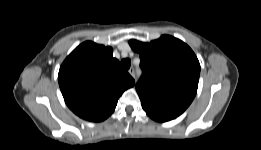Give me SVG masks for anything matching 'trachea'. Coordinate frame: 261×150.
Here are the masks:
<instances>
[{
  "label": "trachea",
  "mask_w": 261,
  "mask_h": 150,
  "mask_svg": "<svg viewBox=\"0 0 261 150\" xmlns=\"http://www.w3.org/2000/svg\"><path fill=\"white\" fill-rule=\"evenodd\" d=\"M121 66L124 68V69H129L130 66H131V60L129 58H125L121 61Z\"/></svg>",
  "instance_id": "3493384b"
}]
</instances>
